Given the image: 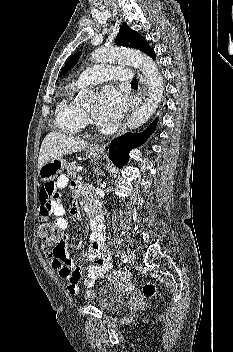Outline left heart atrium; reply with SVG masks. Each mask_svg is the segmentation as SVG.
Returning a JSON list of instances; mask_svg holds the SVG:
<instances>
[{"label": "left heart atrium", "mask_w": 233, "mask_h": 352, "mask_svg": "<svg viewBox=\"0 0 233 352\" xmlns=\"http://www.w3.org/2000/svg\"><path fill=\"white\" fill-rule=\"evenodd\" d=\"M127 106V100L120 91L106 87L101 92L94 118L99 125L105 128L113 127L122 118Z\"/></svg>", "instance_id": "1"}]
</instances>
